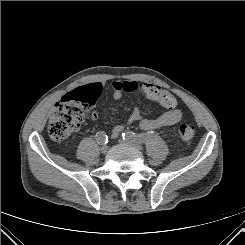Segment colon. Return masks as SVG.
<instances>
[{
	"mask_svg": "<svg viewBox=\"0 0 245 245\" xmlns=\"http://www.w3.org/2000/svg\"><path fill=\"white\" fill-rule=\"evenodd\" d=\"M101 93L97 83L78 87L57 102L52 110L48 132L55 141H63L77 131L83 120L84 112L92 107ZM179 135L183 140H190L195 135V127L190 123L179 126Z\"/></svg>",
	"mask_w": 245,
	"mask_h": 245,
	"instance_id": "5ec220e1",
	"label": "colon"
}]
</instances>
